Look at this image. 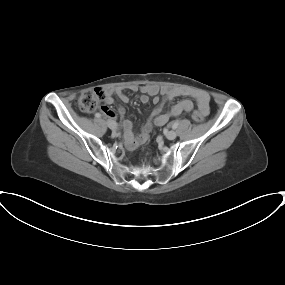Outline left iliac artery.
Here are the masks:
<instances>
[{
  "label": "left iliac artery",
  "mask_w": 285,
  "mask_h": 285,
  "mask_svg": "<svg viewBox=\"0 0 285 285\" xmlns=\"http://www.w3.org/2000/svg\"><path fill=\"white\" fill-rule=\"evenodd\" d=\"M179 125V120H176L173 124H172V128L176 129Z\"/></svg>",
  "instance_id": "left-iliac-artery-1"
}]
</instances>
